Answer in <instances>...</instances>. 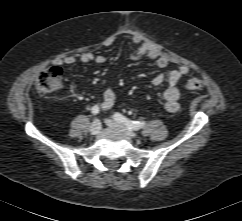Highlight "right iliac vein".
Returning a JSON list of instances; mask_svg holds the SVG:
<instances>
[{"label":"right iliac vein","mask_w":242,"mask_h":221,"mask_svg":"<svg viewBox=\"0 0 242 221\" xmlns=\"http://www.w3.org/2000/svg\"><path fill=\"white\" fill-rule=\"evenodd\" d=\"M100 129H101V123H100V121L99 120H94L92 122L91 126H90L89 131H90V133L92 135H96V134H98L100 132Z\"/></svg>","instance_id":"63e3f726"}]
</instances>
